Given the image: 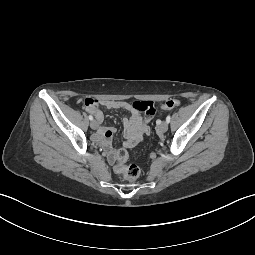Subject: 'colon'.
<instances>
[{
  "label": "colon",
  "instance_id": "obj_1",
  "mask_svg": "<svg viewBox=\"0 0 255 255\" xmlns=\"http://www.w3.org/2000/svg\"><path fill=\"white\" fill-rule=\"evenodd\" d=\"M97 103V100L94 98H85L83 104L85 106H92ZM181 102L177 99H170L163 104L164 109H172L179 107ZM114 163H115V172L121 175L124 179L128 181L136 180L140 175V169L135 164L126 165L128 160V153L125 149H119L114 153Z\"/></svg>",
  "mask_w": 255,
  "mask_h": 255
}]
</instances>
